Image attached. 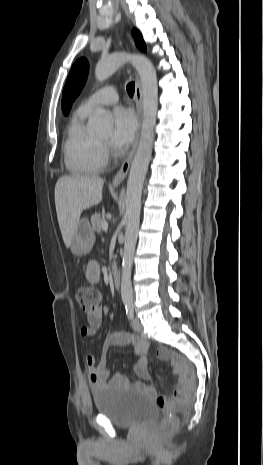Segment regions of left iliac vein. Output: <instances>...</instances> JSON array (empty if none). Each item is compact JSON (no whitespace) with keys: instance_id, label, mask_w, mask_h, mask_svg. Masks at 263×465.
I'll list each match as a JSON object with an SVG mask.
<instances>
[{"instance_id":"left-iliac-vein-1","label":"left iliac vein","mask_w":263,"mask_h":465,"mask_svg":"<svg viewBox=\"0 0 263 465\" xmlns=\"http://www.w3.org/2000/svg\"><path fill=\"white\" fill-rule=\"evenodd\" d=\"M132 328L136 331V332H140L142 330V325H141V322L138 318H134L132 320Z\"/></svg>"}]
</instances>
